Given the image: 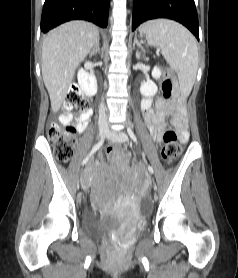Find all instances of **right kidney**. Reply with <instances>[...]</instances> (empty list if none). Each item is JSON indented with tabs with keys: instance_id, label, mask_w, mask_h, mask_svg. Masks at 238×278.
<instances>
[{
	"instance_id": "1",
	"label": "right kidney",
	"mask_w": 238,
	"mask_h": 278,
	"mask_svg": "<svg viewBox=\"0 0 238 278\" xmlns=\"http://www.w3.org/2000/svg\"><path fill=\"white\" fill-rule=\"evenodd\" d=\"M78 84L80 89L87 96H94L97 92V80L95 76L89 74L84 69L78 71Z\"/></svg>"
}]
</instances>
